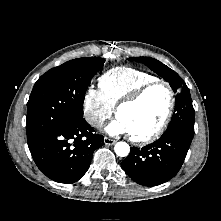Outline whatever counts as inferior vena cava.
Returning <instances> with one entry per match:
<instances>
[{"label":"inferior vena cava","mask_w":221,"mask_h":221,"mask_svg":"<svg viewBox=\"0 0 221 221\" xmlns=\"http://www.w3.org/2000/svg\"><path fill=\"white\" fill-rule=\"evenodd\" d=\"M91 124L94 126V127H101L102 124H103V121L100 120V119H93L91 121Z\"/></svg>","instance_id":"1"}]
</instances>
